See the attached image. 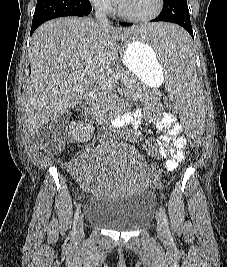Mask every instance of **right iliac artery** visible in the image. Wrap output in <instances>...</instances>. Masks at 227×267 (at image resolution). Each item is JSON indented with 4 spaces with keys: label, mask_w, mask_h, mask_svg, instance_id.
<instances>
[{
    "label": "right iliac artery",
    "mask_w": 227,
    "mask_h": 267,
    "mask_svg": "<svg viewBox=\"0 0 227 267\" xmlns=\"http://www.w3.org/2000/svg\"><path fill=\"white\" fill-rule=\"evenodd\" d=\"M80 213H81V205L79 204L77 206V209H76V212H75V215H74V219H73V229H72V232H71V238L72 239L75 237V234H76V227H77V222H78Z\"/></svg>",
    "instance_id": "right-iliac-artery-1"
}]
</instances>
